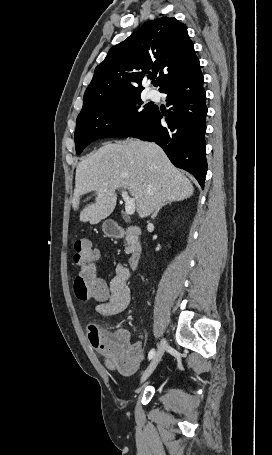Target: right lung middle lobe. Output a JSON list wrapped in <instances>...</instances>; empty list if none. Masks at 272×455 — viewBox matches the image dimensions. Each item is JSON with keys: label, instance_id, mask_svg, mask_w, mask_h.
<instances>
[{"label": "right lung middle lobe", "instance_id": "1", "mask_svg": "<svg viewBox=\"0 0 272 455\" xmlns=\"http://www.w3.org/2000/svg\"><path fill=\"white\" fill-rule=\"evenodd\" d=\"M140 94L106 103L80 113L76 121L75 146L77 154L91 142L108 137L126 138L144 124L156 110L145 105Z\"/></svg>", "mask_w": 272, "mask_h": 455}]
</instances>
